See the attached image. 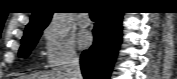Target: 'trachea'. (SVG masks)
Returning <instances> with one entry per match:
<instances>
[{"label": "trachea", "instance_id": "3493384b", "mask_svg": "<svg viewBox=\"0 0 177 79\" xmlns=\"http://www.w3.org/2000/svg\"><path fill=\"white\" fill-rule=\"evenodd\" d=\"M90 16H91V18H96L97 14H96V12H92V13H90Z\"/></svg>", "mask_w": 177, "mask_h": 79}]
</instances>
